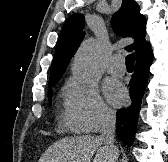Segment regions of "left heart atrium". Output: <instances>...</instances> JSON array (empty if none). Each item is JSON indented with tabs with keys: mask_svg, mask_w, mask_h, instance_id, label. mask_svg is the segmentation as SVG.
I'll list each match as a JSON object with an SVG mask.
<instances>
[{
	"mask_svg": "<svg viewBox=\"0 0 168 162\" xmlns=\"http://www.w3.org/2000/svg\"><path fill=\"white\" fill-rule=\"evenodd\" d=\"M105 93L109 101L116 106L121 105L126 99L125 89L116 83H110L107 85Z\"/></svg>",
	"mask_w": 168,
	"mask_h": 162,
	"instance_id": "1",
	"label": "left heart atrium"
}]
</instances>
